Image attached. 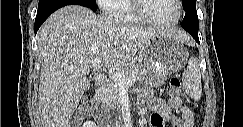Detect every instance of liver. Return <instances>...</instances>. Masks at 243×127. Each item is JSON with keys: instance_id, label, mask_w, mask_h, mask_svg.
<instances>
[{"instance_id": "1", "label": "liver", "mask_w": 243, "mask_h": 127, "mask_svg": "<svg viewBox=\"0 0 243 127\" xmlns=\"http://www.w3.org/2000/svg\"><path fill=\"white\" fill-rule=\"evenodd\" d=\"M190 40L182 30L141 28L92 10L68 5L53 13L37 33L42 60L38 108L43 127H69L73 112L87 90L92 59L119 69L154 36Z\"/></svg>"}]
</instances>
